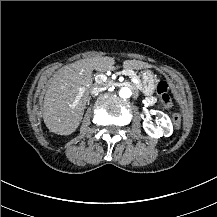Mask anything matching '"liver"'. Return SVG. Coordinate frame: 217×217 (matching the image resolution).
<instances>
[{
	"instance_id": "1",
	"label": "liver",
	"mask_w": 217,
	"mask_h": 217,
	"mask_svg": "<svg viewBox=\"0 0 217 217\" xmlns=\"http://www.w3.org/2000/svg\"><path fill=\"white\" fill-rule=\"evenodd\" d=\"M115 60L112 57H92L78 60L61 68L54 76L45 94L42 115L46 127L59 135L72 134L82 120L89 88L92 85V71L113 70ZM152 65L140 60H125L126 70L151 68ZM81 99L72 107L76 96Z\"/></svg>"
}]
</instances>
